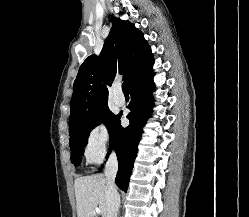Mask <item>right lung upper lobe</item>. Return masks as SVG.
Returning a JSON list of instances; mask_svg holds the SVG:
<instances>
[{
    "label": "right lung upper lobe",
    "mask_w": 249,
    "mask_h": 217,
    "mask_svg": "<svg viewBox=\"0 0 249 217\" xmlns=\"http://www.w3.org/2000/svg\"><path fill=\"white\" fill-rule=\"evenodd\" d=\"M152 57L150 46L134 24L114 17L100 56H89L79 68L70 120L107 103L108 90L102 81L111 85L117 74H123L129 86Z\"/></svg>",
    "instance_id": "1"
}]
</instances>
